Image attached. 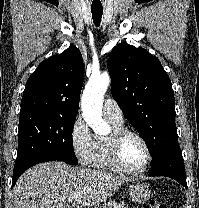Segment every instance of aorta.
Returning a JSON list of instances; mask_svg holds the SVG:
<instances>
[{"mask_svg":"<svg viewBox=\"0 0 199 208\" xmlns=\"http://www.w3.org/2000/svg\"><path fill=\"white\" fill-rule=\"evenodd\" d=\"M109 83L108 73L92 75L82 95L81 107L84 120L98 135H106L110 131V127L102 119L103 96Z\"/></svg>","mask_w":199,"mask_h":208,"instance_id":"1","label":"aorta"}]
</instances>
